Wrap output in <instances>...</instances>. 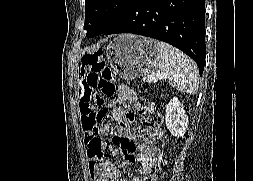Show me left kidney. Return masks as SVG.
I'll return each instance as SVG.
<instances>
[{"mask_svg":"<svg viewBox=\"0 0 253 181\" xmlns=\"http://www.w3.org/2000/svg\"><path fill=\"white\" fill-rule=\"evenodd\" d=\"M165 123L173 136H184L188 127V116L177 97H173L166 106Z\"/></svg>","mask_w":253,"mask_h":181,"instance_id":"5707ae66","label":"left kidney"}]
</instances>
